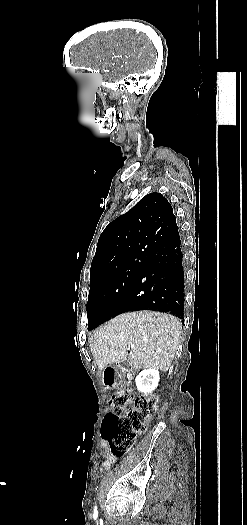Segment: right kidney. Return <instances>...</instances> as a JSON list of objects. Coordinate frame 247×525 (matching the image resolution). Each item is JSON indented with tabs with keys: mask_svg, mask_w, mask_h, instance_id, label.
<instances>
[{
	"mask_svg": "<svg viewBox=\"0 0 247 525\" xmlns=\"http://www.w3.org/2000/svg\"><path fill=\"white\" fill-rule=\"evenodd\" d=\"M159 381L160 375L156 369H144L135 377V385L139 393H143V395L153 393L154 389L158 387Z\"/></svg>",
	"mask_w": 247,
	"mask_h": 525,
	"instance_id": "1",
	"label": "right kidney"
}]
</instances>
